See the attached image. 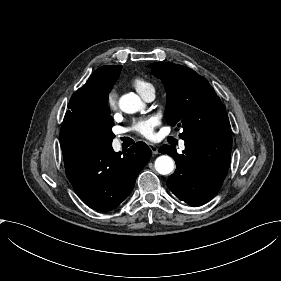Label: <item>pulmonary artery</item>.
Returning a JSON list of instances; mask_svg holds the SVG:
<instances>
[{"label":"pulmonary artery","instance_id":"obj_1","mask_svg":"<svg viewBox=\"0 0 281 281\" xmlns=\"http://www.w3.org/2000/svg\"><path fill=\"white\" fill-rule=\"evenodd\" d=\"M155 98V93H154V90H148L144 96V100L147 101V102H151L153 101ZM181 148L184 147V144L183 142L180 144ZM113 150L115 153L119 152L120 151V145L119 144H114L113 145Z\"/></svg>","mask_w":281,"mask_h":281}]
</instances>
